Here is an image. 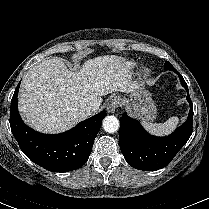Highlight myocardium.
Segmentation results:
<instances>
[{"mask_svg":"<svg viewBox=\"0 0 209 209\" xmlns=\"http://www.w3.org/2000/svg\"><path fill=\"white\" fill-rule=\"evenodd\" d=\"M143 77H145V78H147V77H149L150 76V74H151V71H150V69L149 68H144V70H143Z\"/></svg>","mask_w":209,"mask_h":209,"instance_id":"1","label":"myocardium"}]
</instances>
